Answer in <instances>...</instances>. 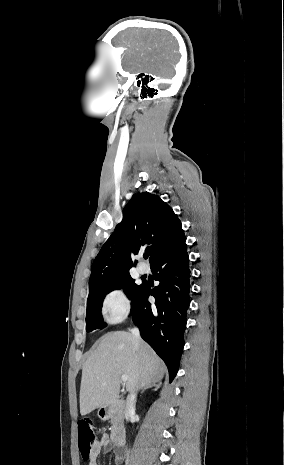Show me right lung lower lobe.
<instances>
[{
	"instance_id": "right-lung-lower-lobe-1",
	"label": "right lung lower lobe",
	"mask_w": 284,
	"mask_h": 465,
	"mask_svg": "<svg viewBox=\"0 0 284 465\" xmlns=\"http://www.w3.org/2000/svg\"><path fill=\"white\" fill-rule=\"evenodd\" d=\"M186 237L151 265L160 284L143 283L131 300V315L141 337L162 358L170 382L176 376L184 347V332L191 293V271ZM155 297L151 304L148 297Z\"/></svg>"
}]
</instances>
